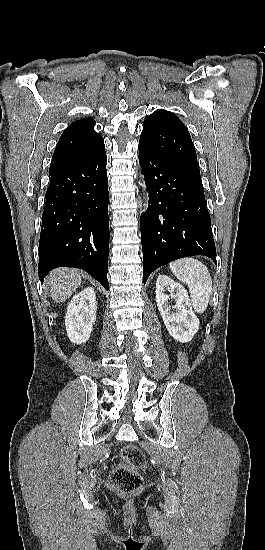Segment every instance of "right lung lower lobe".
Returning a JSON list of instances; mask_svg holds the SVG:
<instances>
[{
	"instance_id": "1",
	"label": "right lung lower lobe",
	"mask_w": 265,
	"mask_h": 550,
	"mask_svg": "<svg viewBox=\"0 0 265 550\" xmlns=\"http://www.w3.org/2000/svg\"><path fill=\"white\" fill-rule=\"evenodd\" d=\"M105 151L50 168L39 241L43 280L57 267L87 271L108 290V178Z\"/></svg>"
}]
</instances>
